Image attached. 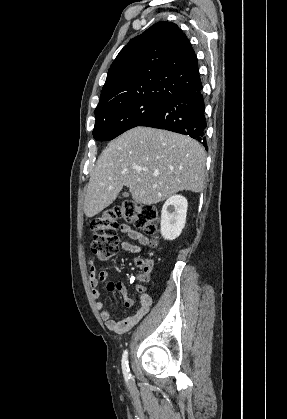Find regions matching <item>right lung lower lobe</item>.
I'll return each instance as SVG.
<instances>
[{
    "label": "right lung lower lobe",
    "instance_id": "obj_1",
    "mask_svg": "<svg viewBox=\"0 0 287 419\" xmlns=\"http://www.w3.org/2000/svg\"><path fill=\"white\" fill-rule=\"evenodd\" d=\"M139 126L189 135L206 146V118L202 84L169 97L156 112Z\"/></svg>",
    "mask_w": 287,
    "mask_h": 419
}]
</instances>
